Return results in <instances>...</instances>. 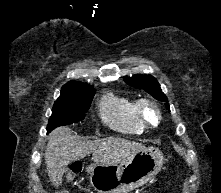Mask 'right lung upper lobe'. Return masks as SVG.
Returning <instances> with one entry per match:
<instances>
[{
    "instance_id": "cb5924a9",
    "label": "right lung upper lobe",
    "mask_w": 221,
    "mask_h": 193,
    "mask_svg": "<svg viewBox=\"0 0 221 193\" xmlns=\"http://www.w3.org/2000/svg\"><path fill=\"white\" fill-rule=\"evenodd\" d=\"M87 88V87H91L89 85L77 82V81H70L68 83H66L63 87L62 90L64 89H72V88Z\"/></svg>"
}]
</instances>
